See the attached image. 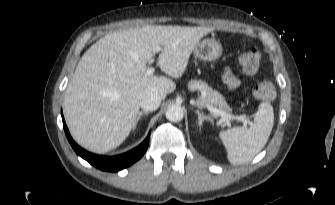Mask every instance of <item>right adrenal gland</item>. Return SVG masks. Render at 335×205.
Wrapping results in <instances>:
<instances>
[{
    "mask_svg": "<svg viewBox=\"0 0 335 205\" xmlns=\"http://www.w3.org/2000/svg\"><path fill=\"white\" fill-rule=\"evenodd\" d=\"M148 111H140L137 115V118L135 120V124H134V129L136 128V125L138 124V121L140 120L142 115H147Z\"/></svg>",
    "mask_w": 335,
    "mask_h": 205,
    "instance_id": "right-adrenal-gland-1",
    "label": "right adrenal gland"
}]
</instances>
